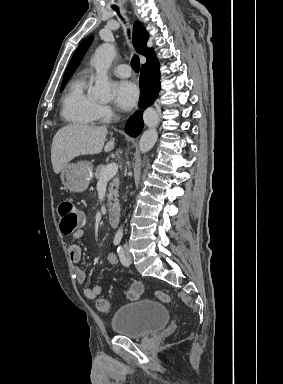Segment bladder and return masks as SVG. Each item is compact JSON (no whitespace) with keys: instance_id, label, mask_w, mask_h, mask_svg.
I'll return each mask as SVG.
<instances>
[{"instance_id":"bladder-1","label":"bladder","mask_w":283,"mask_h":384,"mask_svg":"<svg viewBox=\"0 0 283 384\" xmlns=\"http://www.w3.org/2000/svg\"><path fill=\"white\" fill-rule=\"evenodd\" d=\"M168 322L165 304L143 298L120 306L113 313L111 328L115 335L144 338L161 330Z\"/></svg>"}]
</instances>
